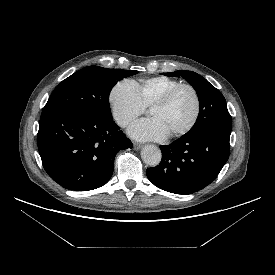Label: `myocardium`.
I'll use <instances>...</instances> for the list:
<instances>
[{
    "mask_svg": "<svg viewBox=\"0 0 275 275\" xmlns=\"http://www.w3.org/2000/svg\"><path fill=\"white\" fill-rule=\"evenodd\" d=\"M183 88H187L193 93L194 98H195V112H194V115H193L191 121L184 128H182L181 130H179L175 133L168 135V137L171 139L179 138V137L187 134L197 124L200 114H201V99H200V95H199L198 91L196 90V88L193 85H191L189 83H180V84L176 85L175 87L171 88L169 91H167L159 100H157L150 107V109L166 107L171 102V100L173 99L175 94Z\"/></svg>",
    "mask_w": 275,
    "mask_h": 275,
    "instance_id": "myocardium-1",
    "label": "myocardium"
}]
</instances>
